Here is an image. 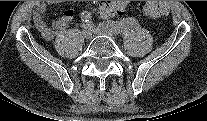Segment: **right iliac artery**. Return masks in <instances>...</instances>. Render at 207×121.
<instances>
[{"instance_id": "right-iliac-artery-1", "label": "right iliac artery", "mask_w": 207, "mask_h": 121, "mask_svg": "<svg viewBox=\"0 0 207 121\" xmlns=\"http://www.w3.org/2000/svg\"><path fill=\"white\" fill-rule=\"evenodd\" d=\"M91 18H92V16L89 12L84 11V12L81 13L82 21L85 22L88 25H90V23H91Z\"/></svg>"}]
</instances>
